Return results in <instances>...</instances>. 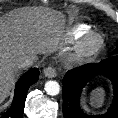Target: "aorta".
Listing matches in <instances>:
<instances>
[{"mask_svg": "<svg viewBox=\"0 0 118 118\" xmlns=\"http://www.w3.org/2000/svg\"><path fill=\"white\" fill-rule=\"evenodd\" d=\"M45 91L50 96L58 95L60 92V85L57 81H47L45 83Z\"/></svg>", "mask_w": 118, "mask_h": 118, "instance_id": "762f6f07", "label": "aorta"}]
</instances>
